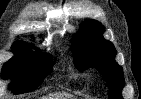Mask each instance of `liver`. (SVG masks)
<instances>
[{
    "label": "liver",
    "instance_id": "liver-1",
    "mask_svg": "<svg viewBox=\"0 0 141 99\" xmlns=\"http://www.w3.org/2000/svg\"><path fill=\"white\" fill-rule=\"evenodd\" d=\"M41 99H75V97L68 93H55L43 96Z\"/></svg>",
    "mask_w": 141,
    "mask_h": 99
}]
</instances>
